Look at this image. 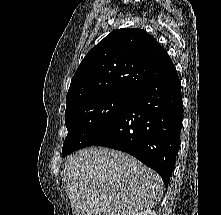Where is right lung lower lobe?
I'll return each mask as SVG.
<instances>
[{"label":"right lung lower lobe","instance_id":"98d812e1","mask_svg":"<svg viewBox=\"0 0 221 215\" xmlns=\"http://www.w3.org/2000/svg\"><path fill=\"white\" fill-rule=\"evenodd\" d=\"M182 124L181 82L173 65L134 92L109 129L91 145L129 153L156 170L168 185Z\"/></svg>","mask_w":221,"mask_h":215}]
</instances>
